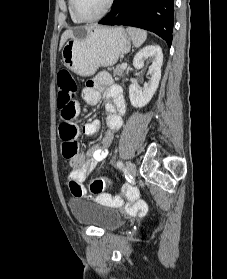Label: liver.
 <instances>
[{"label": "liver", "instance_id": "liver-1", "mask_svg": "<svg viewBox=\"0 0 227 279\" xmlns=\"http://www.w3.org/2000/svg\"><path fill=\"white\" fill-rule=\"evenodd\" d=\"M97 26H86L85 29L87 30H91L93 28H96ZM74 37V33L72 29H68L66 31L63 32L62 36H61V40H60V45H59V50L62 49V47L64 46L65 42L69 39V38H73Z\"/></svg>", "mask_w": 227, "mask_h": 279}]
</instances>
